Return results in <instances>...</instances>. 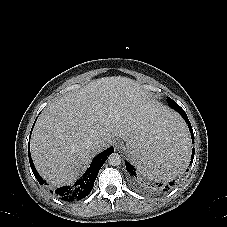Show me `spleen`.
I'll return each mask as SVG.
<instances>
[{
  "label": "spleen",
  "instance_id": "3e777b00",
  "mask_svg": "<svg viewBox=\"0 0 227 227\" xmlns=\"http://www.w3.org/2000/svg\"><path fill=\"white\" fill-rule=\"evenodd\" d=\"M127 156L151 179L171 181L182 174L190 157V139L181 117L167 108L129 129L125 135Z\"/></svg>",
  "mask_w": 227,
  "mask_h": 227
}]
</instances>
